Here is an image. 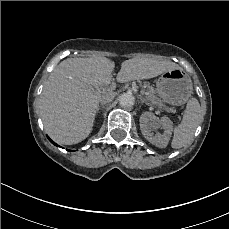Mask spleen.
Segmentation results:
<instances>
[{
    "label": "spleen",
    "mask_w": 229,
    "mask_h": 229,
    "mask_svg": "<svg viewBox=\"0 0 229 229\" xmlns=\"http://www.w3.org/2000/svg\"><path fill=\"white\" fill-rule=\"evenodd\" d=\"M203 122L200 104L192 99L183 116V121L174 129L172 140L173 148H182L192 143L196 129Z\"/></svg>",
    "instance_id": "3e777b00"
}]
</instances>
